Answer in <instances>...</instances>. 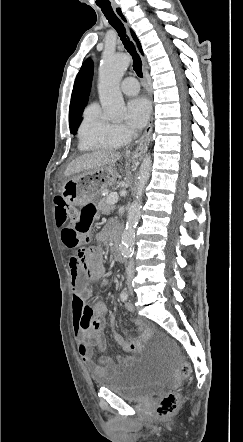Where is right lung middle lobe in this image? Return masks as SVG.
<instances>
[{"instance_id": "dd1d6c3e", "label": "right lung middle lobe", "mask_w": 243, "mask_h": 442, "mask_svg": "<svg viewBox=\"0 0 243 442\" xmlns=\"http://www.w3.org/2000/svg\"><path fill=\"white\" fill-rule=\"evenodd\" d=\"M81 123V121L74 123L72 125H70V132L75 135L78 129L79 124Z\"/></svg>"}]
</instances>
